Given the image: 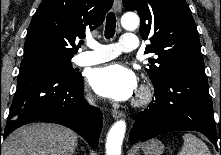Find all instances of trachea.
I'll return each instance as SVG.
<instances>
[{
	"label": "trachea",
	"instance_id": "3493384b",
	"mask_svg": "<svg viewBox=\"0 0 221 155\" xmlns=\"http://www.w3.org/2000/svg\"><path fill=\"white\" fill-rule=\"evenodd\" d=\"M116 29V17L113 12L108 13L106 17L105 37L107 39L112 38Z\"/></svg>",
	"mask_w": 221,
	"mask_h": 155
}]
</instances>
